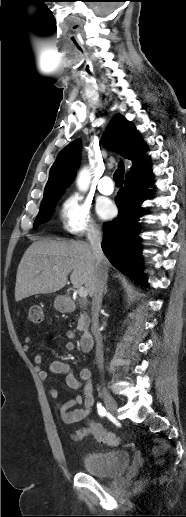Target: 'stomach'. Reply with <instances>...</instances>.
<instances>
[{"label":"stomach","instance_id":"stomach-1","mask_svg":"<svg viewBox=\"0 0 186 517\" xmlns=\"http://www.w3.org/2000/svg\"><path fill=\"white\" fill-rule=\"evenodd\" d=\"M55 307L58 310H63L65 308L62 296H57L56 297V299H55Z\"/></svg>","mask_w":186,"mask_h":517}]
</instances>
